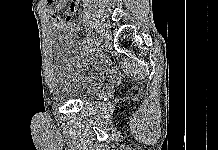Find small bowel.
Returning a JSON list of instances; mask_svg holds the SVG:
<instances>
[{
    "instance_id": "obj_1",
    "label": "small bowel",
    "mask_w": 218,
    "mask_h": 150,
    "mask_svg": "<svg viewBox=\"0 0 218 150\" xmlns=\"http://www.w3.org/2000/svg\"><path fill=\"white\" fill-rule=\"evenodd\" d=\"M80 0H48L46 10L50 15V25L54 31L77 32L79 27L73 22L72 18L76 13ZM69 3L66 17L61 19L57 12L62 10Z\"/></svg>"
}]
</instances>
